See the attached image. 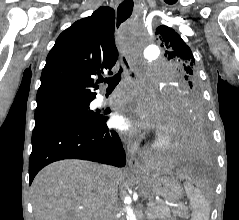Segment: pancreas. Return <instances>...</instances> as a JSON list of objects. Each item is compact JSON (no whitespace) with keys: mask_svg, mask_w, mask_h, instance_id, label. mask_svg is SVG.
I'll use <instances>...</instances> for the list:
<instances>
[{"mask_svg":"<svg viewBox=\"0 0 239 220\" xmlns=\"http://www.w3.org/2000/svg\"><path fill=\"white\" fill-rule=\"evenodd\" d=\"M176 216L187 218V207H185L184 205H179L173 209H170L164 204V202L155 201L152 202V205L148 206L147 210L145 211V217L148 220H165L167 218Z\"/></svg>","mask_w":239,"mask_h":220,"instance_id":"pancreas-1","label":"pancreas"}]
</instances>
